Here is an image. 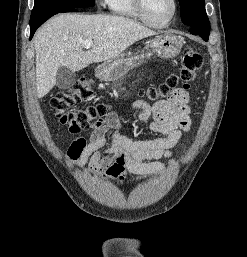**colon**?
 <instances>
[{
	"label": "colon",
	"mask_w": 247,
	"mask_h": 257,
	"mask_svg": "<svg viewBox=\"0 0 247 257\" xmlns=\"http://www.w3.org/2000/svg\"><path fill=\"white\" fill-rule=\"evenodd\" d=\"M202 66L201 55L192 47H186L183 54L179 78L170 76L166 83L156 88L142 92L150 100H158L173 90L179 83L184 89H189L195 73ZM93 95L92 83L87 79L77 80L73 87L65 92H59L51 99V106L59 122L66 125L70 132L78 133L89 129L109 112L110 106L104 103L74 108L82 101L89 100Z\"/></svg>",
	"instance_id": "5ec220e1"
}]
</instances>
